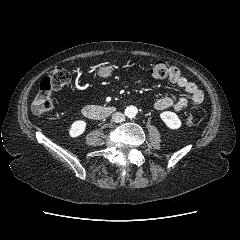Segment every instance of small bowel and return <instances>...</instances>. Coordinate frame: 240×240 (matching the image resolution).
<instances>
[{"label": "small bowel", "mask_w": 240, "mask_h": 240, "mask_svg": "<svg viewBox=\"0 0 240 240\" xmlns=\"http://www.w3.org/2000/svg\"><path fill=\"white\" fill-rule=\"evenodd\" d=\"M168 79L173 85L183 89L185 94L179 98L165 96L158 99L154 103V108L157 111L172 108L179 112L189 106H196L203 102L204 94L202 90L195 83L188 81L177 67H170Z\"/></svg>", "instance_id": "1"}]
</instances>
